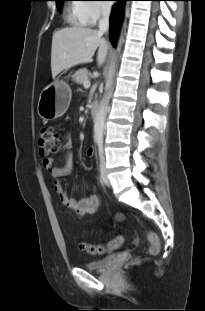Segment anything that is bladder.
<instances>
[{
    "mask_svg": "<svg viewBox=\"0 0 205 311\" xmlns=\"http://www.w3.org/2000/svg\"><path fill=\"white\" fill-rule=\"evenodd\" d=\"M114 257V255H108L102 259L87 262L83 264V268L91 271H102L114 260Z\"/></svg>",
    "mask_w": 205,
    "mask_h": 311,
    "instance_id": "obj_1",
    "label": "bladder"
}]
</instances>
